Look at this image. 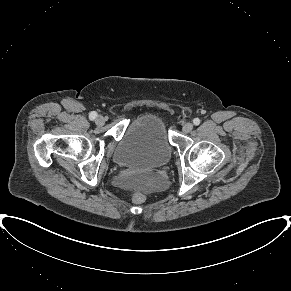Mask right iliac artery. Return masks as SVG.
<instances>
[{
  "label": "right iliac artery",
  "instance_id": "1",
  "mask_svg": "<svg viewBox=\"0 0 291 291\" xmlns=\"http://www.w3.org/2000/svg\"><path fill=\"white\" fill-rule=\"evenodd\" d=\"M97 117V113L95 111L91 112L89 115L90 120H94Z\"/></svg>",
  "mask_w": 291,
  "mask_h": 291
}]
</instances>
